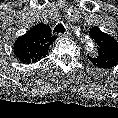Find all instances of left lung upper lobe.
<instances>
[{"instance_id": "1", "label": "left lung upper lobe", "mask_w": 118, "mask_h": 118, "mask_svg": "<svg viewBox=\"0 0 118 118\" xmlns=\"http://www.w3.org/2000/svg\"><path fill=\"white\" fill-rule=\"evenodd\" d=\"M89 35L97 43L98 55L88 59L99 68H111L118 62V42L110 35L103 33L98 27H93Z\"/></svg>"}]
</instances>
